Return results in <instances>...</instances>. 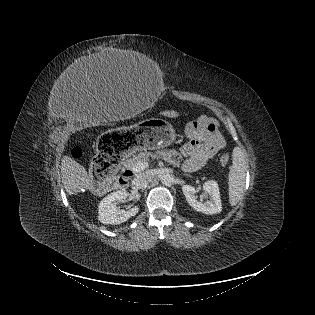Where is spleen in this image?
<instances>
[{"label":"spleen","mask_w":315,"mask_h":315,"mask_svg":"<svg viewBox=\"0 0 315 315\" xmlns=\"http://www.w3.org/2000/svg\"><path fill=\"white\" fill-rule=\"evenodd\" d=\"M232 163L233 164L230 167L228 177V191L229 202L232 206H235L243 194L247 170V161L245 155L239 147H236L233 150Z\"/></svg>","instance_id":"3e777b00"}]
</instances>
